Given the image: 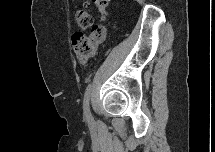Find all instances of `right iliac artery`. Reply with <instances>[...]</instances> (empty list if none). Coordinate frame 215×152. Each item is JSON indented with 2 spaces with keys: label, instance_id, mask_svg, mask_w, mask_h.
<instances>
[{
  "label": "right iliac artery",
  "instance_id": "82829eb1",
  "mask_svg": "<svg viewBox=\"0 0 215 152\" xmlns=\"http://www.w3.org/2000/svg\"><path fill=\"white\" fill-rule=\"evenodd\" d=\"M90 91H91V84L88 85L85 95H84V101H83V108H84V115L87 119L91 118V114L88 113L89 111V97H90Z\"/></svg>",
  "mask_w": 215,
  "mask_h": 152
}]
</instances>
